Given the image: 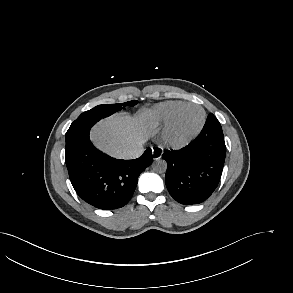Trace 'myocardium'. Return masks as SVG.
Masks as SVG:
<instances>
[{
  "label": "myocardium",
  "instance_id": "obj_1",
  "mask_svg": "<svg viewBox=\"0 0 293 293\" xmlns=\"http://www.w3.org/2000/svg\"><path fill=\"white\" fill-rule=\"evenodd\" d=\"M192 106L199 108L202 112V120L200 122V125L190 136H188L187 138H185L183 140H178L174 136V128L176 125L177 118H178L180 112L184 108L192 107ZM206 119H207L206 111L204 110V108L201 105L196 104V103H183V104H181L173 112L171 118L169 119L168 123L166 124V127L162 133L163 144L166 147L174 149V150L185 148L186 146L191 144L199 136V134L202 132V130L205 126V123H206Z\"/></svg>",
  "mask_w": 293,
  "mask_h": 293
}]
</instances>
